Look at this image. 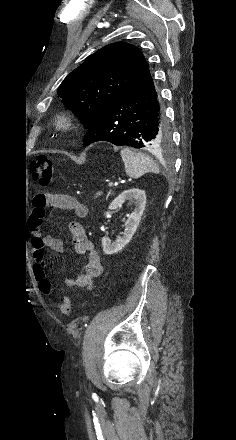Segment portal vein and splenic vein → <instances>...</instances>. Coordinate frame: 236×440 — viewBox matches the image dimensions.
<instances>
[{"label":"portal vein and splenic vein","mask_w":236,"mask_h":440,"mask_svg":"<svg viewBox=\"0 0 236 440\" xmlns=\"http://www.w3.org/2000/svg\"><path fill=\"white\" fill-rule=\"evenodd\" d=\"M114 185L113 182H109V187H112Z\"/></svg>","instance_id":"obj_1"}]
</instances>
